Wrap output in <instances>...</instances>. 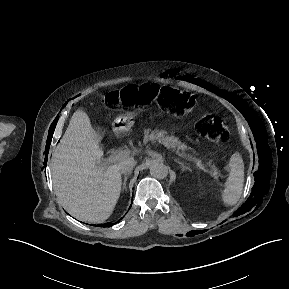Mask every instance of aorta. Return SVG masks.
<instances>
[{
	"mask_svg": "<svg viewBox=\"0 0 289 289\" xmlns=\"http://www.w3.org/2000/svg\"><path fill=\"white\" fill-rule=\"evenodd\" d=\"M150 174L156 179H164L168 175V168L163 163H153L150 167Z\"/></svg>",
	"mask_w": 289,
	"mask_h": 289,
	"instance_id": "1",
	"label": "aorta"
}]
</instances>
